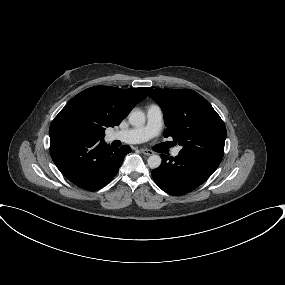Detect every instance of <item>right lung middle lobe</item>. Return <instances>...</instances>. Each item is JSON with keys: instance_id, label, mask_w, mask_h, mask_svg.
<instances>
[{"instance_id": "right-lung-middle-lobe-1", "label": "right lung middle lobe", "mask_w": 285, "mask_h": 285, "mask_svg": "<svg viewBox=\"0 0 285 285\" xmlns=\"http://www.w3.org/2000/svg\"><path fill=\"white\" fill-rule=\"evenodd\" d=\"M73 137H76V138H79V139H82V140H88L87 136L80 133V132H75L72 134Z\"/></svg>"}]
</instances>
